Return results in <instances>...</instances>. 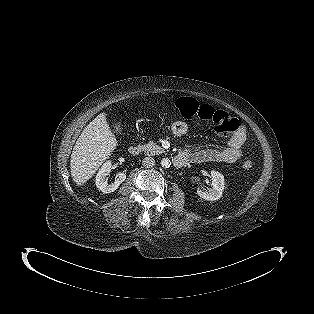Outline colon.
Wrapping results in <instances>:
<instances>
[{
  "instance_id": "colon-1",
  "label": "colon",
  "mask_w": 314,
  "mask_h": 314,
  "mask_svg": "<svg viewBox=\"0 0 314 314\" xmlns=\"http://www.w3.org/2000/svg\"><path fill=\"white\" fill-rule=\"evenodd\" d=\"M179 114L185 119L198 117L203 121H210L214 125V130L220 134L235 133L239 129V122L223 110H217L206 104H199L190 97H181L177 102ZM240 166L243 170H250L253 162L249 157L244 158Z\"/></svg>"
}]
</instances>
